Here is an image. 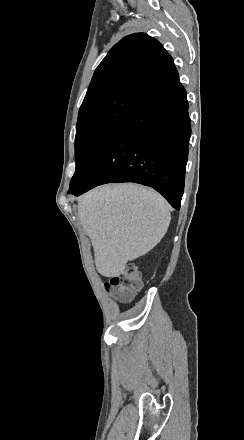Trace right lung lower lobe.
Listing matches in <instances>:
<instances>
[{
	"mask_svg": "<svg viewBox=\"0 0 244 440\" xmlns=\"http://www.w3.org/2000/svg\"><path fill=\"white\" fill-rule=\"evenodd\" d=\"M178 73L141 97L69 188L76 196L111 182L150 186L179 209L191 123Z\"/></svg>",
	"mask_w": 244,
	"mask_h": 440,
	"instance_id": "1",
	"label": "right lung lower lobe"
}]
</instances>
